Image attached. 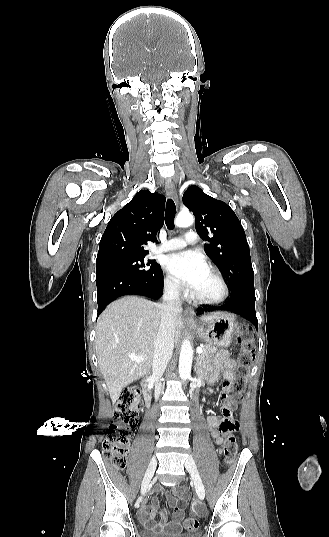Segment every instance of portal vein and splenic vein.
<instances>
[{
    "instance_id": "portal-vein-and-splenic-vein-1",
    "label": "portal vein and splenic vein",
    "mask_w": 329,
    "mask_h": 537,
    "mask_svg": "<svg viewBox=\"0 0 329 537\" xmlns=\"http://www.w3.org/2000/svg\"><path fill=\"white\" fill-rule=\"evenodd\" d=\"M203 352V349L198 347L197 348V353L198 354H201ZM128 357L132 360V361H135V362H141V361H144L145 358L144 357H141V356H136L134 354H130L128 355Z\"/></svg>"
}]
</instances>
